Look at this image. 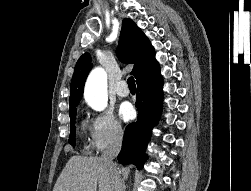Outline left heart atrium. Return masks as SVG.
<instances>
[{
    "instance_id": "obj_1",
    "label": "left heart atrium",
    "mask_w": 251,
    "mask_h": 191,
    "mask_svg": "<svg viewBox=\"0 0 251 191\" xmlns=\"http://www.w3.org/2000/svg\"><path fill=\"white\" fill-rule=\"evenodd\" d=\"M119 115L122 120L127 121L131 119L134 115L133 107L130 103H123L119 108Z\"/></svg>"
}]
</instances>
